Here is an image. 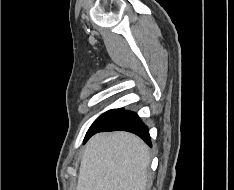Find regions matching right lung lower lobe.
<instances>
[{
    "label": "right lung lower lobe",
    "instance_id": "1",
    "mask_svg": "<svg viewBox=\"0 0 234 190\" xmlns=\"http://www.w3.org/2000/svg\"><path fill=\"white\" fill-rule=\"evenodd\" d=\"M128 131L138 135L146 144L151 146L148 128L138 115L131 111L114 109L109 118L98 129L86 134L84 143L95 133L103 131Z\"/></svg>",
    "mask_w": 234,
    "mask_h": 190
}]
</instances>
